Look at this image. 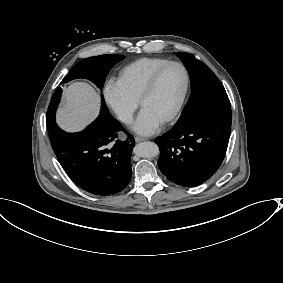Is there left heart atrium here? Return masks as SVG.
I'll list each match as a JSON object with an SVG mask.
<instances>
[{"instance_id":"obj_1","label":"left heart atrium","mask_w":283,"mask_h":283,"mask_svg":"<svg viewBox=\"0 0 283 283\" xmlns=\"http://www.w3.org/2000/svg\"><path fill=\"white\" fill-rule=\"evenodd\" d=\"M161 123L160 118L149 110L142 108L137 119L132 124V129L139 134H151L158 130Z\"/></svg>"}]
</instances>
